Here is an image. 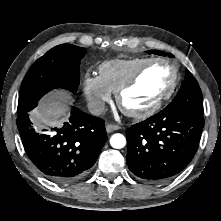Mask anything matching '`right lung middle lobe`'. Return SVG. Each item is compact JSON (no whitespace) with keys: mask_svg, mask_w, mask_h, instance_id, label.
I'll list each match as a JSON object with an SVG mask.
<instances>
[{"mask_svg":"<svg viewBox=\"0 0 221 221\" xmlns=\"http://www.w3.org/2000/svg\"><path fill=\"white\" fill-rule=\"evenodd\" d=\"M86 49L61 44L39 58L25 75L20 88L18 115L28 113L38 100L55 88L77 91L80 79V60Z\"/></svg>","mask_w":221,"mask_h":221,"instance_id":"1","label":"right lung middle lobe"}]
</instances>
